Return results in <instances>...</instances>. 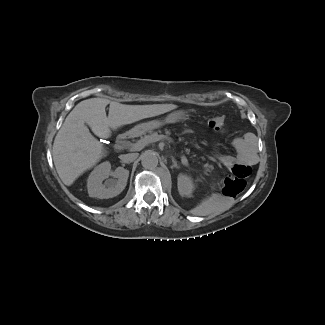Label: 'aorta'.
I'll use <instances>...</instances> for the list:
<instances>
[{
    "label": "aorta",
    "instance_id": "aorta-1",
    "mask_svg": "<svg viewBox=\"0 0 325 325\" xmlns=\"http://www.w3.org/2000/svg\"><path fill=\"white\" fill-rule=\"evenodd\" d=\"M141 164L145 169H154L158 165L157 153L151 150L145 151L141 156Z\"/></svg>",
    "mask_w": 325,
    "mask_h": 325
}]
</instances>
